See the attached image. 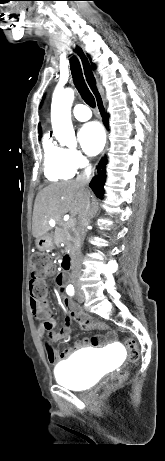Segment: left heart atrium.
<instances>
[{"label": "left heart atrium", "instance_id": "obj_1", "mask_svg": "<svg viewBox=\"0 0 165 461\" xmlns=\"http://www.w3.org/2000/svg\"><path fill=\"white\" fill-rule=\"evenodd\" d=\"M79 140L87 154L97 155L104 147L105 133L98 123L90 122L81 127Z\"/></svg>", "mask_w": 165, "mask_h": 461}]
</instances>
